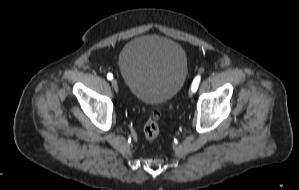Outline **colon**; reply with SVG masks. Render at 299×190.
<instances>
[{"label": "colon", "instance_id": "1", "mask_svg": "<svg viewBox=\"0 0 299 190\" xmlns=\"http://www.w3.org/2000/svg\"><path fill=\"white\" fill-rule=\"evenodd\" d=\"M160 112L155 110L152 112L150 118L146 122L143 132L146 140L154 141L159 136V119H160Z\"/></svg>", "mask_w": 299, "mask_h": 190}]
</instances>
